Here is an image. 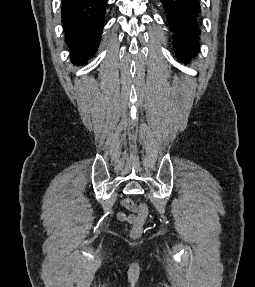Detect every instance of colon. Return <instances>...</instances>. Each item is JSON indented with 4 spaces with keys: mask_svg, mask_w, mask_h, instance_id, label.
Instances as JSON below:
<instances>
[{
    "mask_svg": "<svg viewBox=\"0 0 255 287\" xmlns=\"http://www.w3.org/2000/svg\"><path fill=\"white\" fill-rule=\"evenodd\" d=\"M148 216H149V209H148L147 205L141 204L138 208L136 220H135V222L132 226V229L130 231V236L133 239H137L142 235L144 225H145L146 221L148 220Z\"/></svg>",
    "mask_w": 255,
    "mask_h": 287,
    "instance_id": "1",
    "label": "colon"
}]
</instances>
